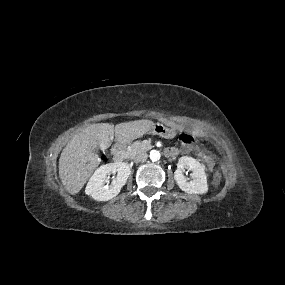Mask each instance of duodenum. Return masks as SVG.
Here are the masks:
<instances>
[{
	"label": "duodenum",
	"instance_id": "obj_1",
	"mask_svg": "<svg viewBox=\"0 0 285 285\" xmlns=\"http://www.w3.org/2000/svg\"><path fill=\"white\" fill-rule=\"evenodd\" d=\"M112 153H113V158H114V160H115L116 162H122V161H124L125 158H126V152H125V146H124V144L121 143V142L116 143V144L114 145V147H113ZM176 154H177V153H176L174 150H172V149H168V148H167V149L165 150V155H166L167 157L172 158V157L176 156Z\"/></svg>",
	"mask_w": 285,
	"mask_h": 285
}]
</instances>
